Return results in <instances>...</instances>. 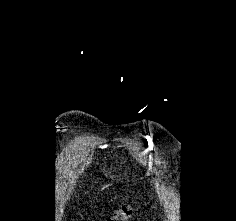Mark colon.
<instances>
[{
    "mask_svg": "<svg viewBox=\"0 0 236 221\" xmlns=\"http://www.w3.org/2000/svg\"><path fill=\"white\" fill-rule=\"evenodd\" d=\"M133 208L131 205H123L115 210L106 221H132Z\"/></svg>",
    "mask_w": 236,
    "mask_h": 221,
    "instance_id": "5ec220e1",
    "label": "colon"
}]
</instances>
